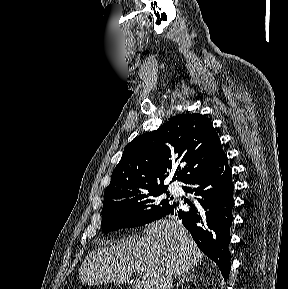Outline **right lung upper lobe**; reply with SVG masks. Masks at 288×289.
I'll use <instances>...</instances> for the list:
<instances>
[{
    "instance_id": "obj_1",
    "label": "right lung upper lobe",
    "mask_w": 288,
    "mask_h": 289,
    "mask_svg": "<svg viewBox=\"0 0 288 289\" xmlns=\"http://www.w3.org/2000/svg\"><path fill=\"white\" fill-rule=\"evenodd\" d=\"M223 152L210 121L200 114H182L157 130L140 135L124 149L104 197L150 187H165L164 180L177 163L173 181L184 182Z\"/></svg>"
}]
</instances>
